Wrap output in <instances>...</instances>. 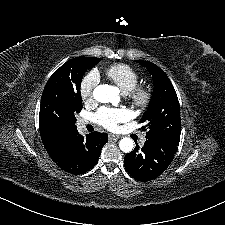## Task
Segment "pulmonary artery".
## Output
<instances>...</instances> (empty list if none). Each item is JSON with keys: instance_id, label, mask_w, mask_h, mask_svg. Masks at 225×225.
Listing matches in <instances>:
<instances>
[{"instance_id": "e3ab8cb5", "label": "pulmonary artery", "mask_w": 225, "mask_h": 225, "mask_svg": "<svg viewBox=\"0 0 225 225\" xmlns=\"http://www.w3.org/2000/svg\"><path fill=\"white\" fill-rule=\"evenodd\" d=\"M87 123H88L87 120L82 119V120H80V121L78 122V126H79L80 128H83V127H85V126L87 125ZM144 141H145V139L143 138V139L141 140V142H144Z\"/></svg>"}]
</instances>
